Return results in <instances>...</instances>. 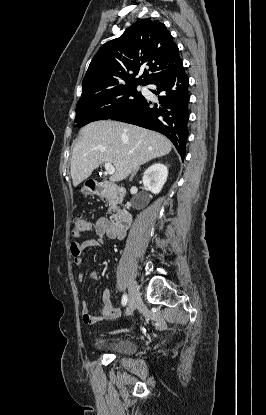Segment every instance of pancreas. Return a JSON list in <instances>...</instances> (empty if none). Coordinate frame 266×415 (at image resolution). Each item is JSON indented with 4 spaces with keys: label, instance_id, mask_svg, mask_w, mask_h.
<instances>
[{
    "label": "pancreas",
    "instance_id": "obj_1",
    "mask_svg": "<svg viewBox=\"0 0 266 415\" xmlns=\"http://www.w3.org/2000/svg\"><path fill=\"white\" fill-rule=\"evenodd\" d=\"M105 198L107 199V206H109L108 212H115L117 210V196L114 194L112 190L108 189L105 192Z\"/></svg>",
    "mask_w": 266,
    "mask_h": 415
}]
</instances>
